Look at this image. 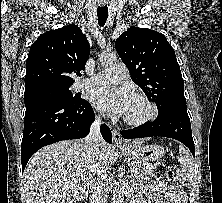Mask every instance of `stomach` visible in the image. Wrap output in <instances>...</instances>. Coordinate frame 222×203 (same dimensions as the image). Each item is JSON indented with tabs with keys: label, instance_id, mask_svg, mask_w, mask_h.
Masks as SVG:
<instances>
[{
	"label": "stomach",
	"instance_id": "1",
	"mask_svg": "<svg viewBox=\"0 0 222 203\" xmlns=\"http://www.w3.org/2000/svg\"><path fill=\"white\" fill-rule=\"evenodd\" d=\"M121 150L124 154L138 161L157 160L165 154L164 147L157 144L132 143L121 148Z\"/></svg>",
	"mask_w": 222,
	"mask_h": 203
}]
</instances>
